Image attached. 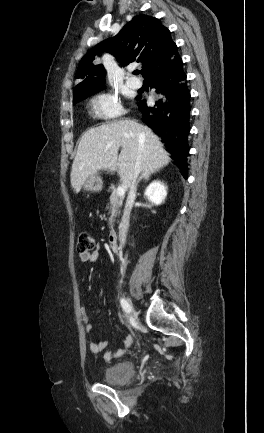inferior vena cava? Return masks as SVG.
I'll return each mask as SVG.
<instances>
[{"instance_id": "602c4592", "label": "inferior vena cava", "mask_w": 264, "mask_h": 433, "mask_svg": "<svg viewBox=\"0 0 264 433\" xmlns=\"http://www.w3.org/2000/svg\"><path fill=\"white\" fill-rule=\"evenodd\" d=\"M141 158H142L141 155L137 157L134 172L132 174L130 185H129V194L126 201L125 209L121 213L123 217H122V223L120 225L121 231H120L119 241H124V237L127 232L126 229L129 224L130 211L136 194V183H137L136 180L138 175L142 171ZM119 250H124V245H119Z\"/></svg>"}]
</instances>
